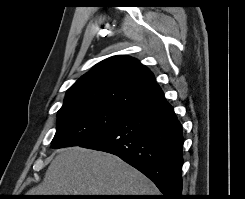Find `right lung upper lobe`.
Wrapping results in <instances>:
<instances>
[{
    "label": "right lung upper lobe",
    "instance_id": "1",
    "mask_svg": "<svg viewBox=\"0 0 245 199\" xmlns=\"http://www.w3.org/2000/svg\"><path fill=\"white\" fill-rule=\"evenodd\" d=\"M165 100L154 75L138 60L113 56L96 64L67 91L68 108L95 105L130 114Z\"/></svg>",
    "mask_w": 245,
    "mask_h": 199
}]
</instances>
